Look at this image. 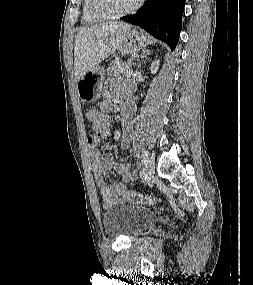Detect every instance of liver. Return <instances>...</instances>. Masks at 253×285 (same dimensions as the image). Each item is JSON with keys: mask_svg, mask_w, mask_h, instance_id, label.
Returning a JSON list of instances; mask_svg holds the SVG:
<instances>
[{"mask_svg": "<svg viewBox=\"0 0 253 285\" xmlns=\"http://www.w3.org/2000/svg\"><path fill=\"white\" fill-rule=\"evenodd\" d=\"M132 25L117 22L93 25L78 32L74 47L75 81L118 50Z\"/></svg>", "mask_w": 253, "mask_h": 285, "instance_id": "1", "label": "liver"}]
</instances>
